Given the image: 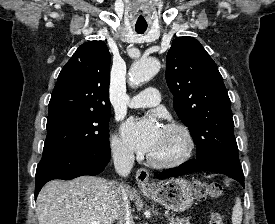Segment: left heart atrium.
Here are the masks:
<instances>
[{"label":"left heart atrium","mask_w":275,"mask_h":224,"mask_svg":"<svg viewBox=\"0 0 275 224\" xmlns=\"http://www.w3.org/2000/svg\"><path fill=\"white\" fill-rule=\"evenodd\" d=\"M122 133L130 149L151 154L161 139L163 128L154 116H148L129 119L124 123Z\"/></svg>","instance_id":"obj_1"}]
</instances>
